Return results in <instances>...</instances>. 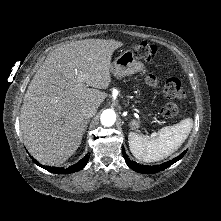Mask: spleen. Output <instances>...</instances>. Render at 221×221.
Segmentation results:
<instances>
[{
  "mask_svg": "<svg viewBox=\"0 0 221 221\" xmlns=\"http://www.w3.org/2000/svg\"><path fill=\"white\" fill-rule=\"evenodd\" d=\"M192 126V118H186L173 126L163 127L151 136L130 132V151L136 159L144 162L163 160L180 148L189 136Z\"/></svg>",
  "mask_w": 221,
  "mask_h": 221,
  "instance_id": "spleen-1",
  "label": "spleen"
}]
</instances>
